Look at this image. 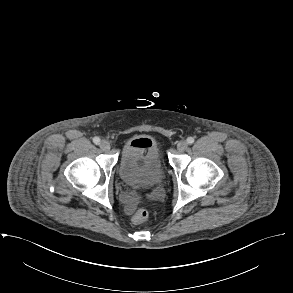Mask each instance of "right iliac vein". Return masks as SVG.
<instances>
[{"mask_svg":"<svg viewBox=\"0 0 293 293\" xmlns=\"http://www.w3.org/2000/svg\"><path fill=\"white\" fill-rule=\"evenodd\" d=\"M100 148L104 151H107L110 149V143L107 140H102L100 142Z\"/></svg>","mask_w":293,"mask_h":293,"instance_id":"right-iliac-vein-1","label":"right iliac vein"}]
</instances>
